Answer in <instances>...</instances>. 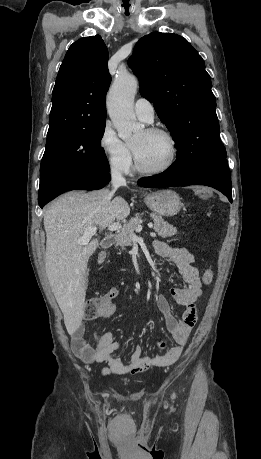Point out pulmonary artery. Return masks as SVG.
Wrapping results in <instances>:
<instances>
[{"mask_svg":"<svg viewBox=\"0 0 261 459\" xmlns=\"http://www.w3.org/2000/svg\"><path fill=\"white\" fill-rule=\"evenodd\" d=\"M134 111L136 116L146 123H150L154 119V107L152 103L145 98H139L136 100Z\"/></svg>","mask_w":261,"mask_h":459,"instance_id":"1","label":"pulmonary artery"}]
</instances>
